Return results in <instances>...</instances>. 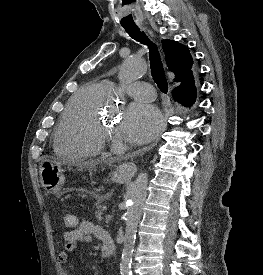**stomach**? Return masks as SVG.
Segmentation results:
<instances>
[{"label":"stomach","instance_id":"stomach-1","mask_svg":"<svg viewBox=\"0 0 263 275\" xmlns=\"http://www.w3.org/2000/svg\"><path fill=\"white\" fill-rule=\"evenodd\" d=\"M65 170L63 163L56 160H44L40 165V181L42 186L48 193L60 196L63 193V185L65 183ZM112 180L122 183L126 181L119 170L112 174Z\"/></svg>","mask_w":263,"mask_h":275}]
</instances>
